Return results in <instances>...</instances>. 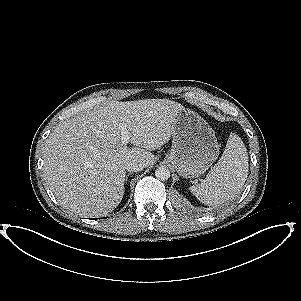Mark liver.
Masks as SVG:
<instances>
[{"label":"liver","instance_id":"liver-1","mask_svg":"<svg viewBox=\"0 0 301 301\" xmlns=\"http://www.w3.org/2000/svg\"><path fill=\"white\" fill-rule=\"evenodd\" d=\"M184 107L176 102H112L55 128L43 149L44 176L58 201L84 216L112 212L124 195L125 165H153ZM123 134L135 147L121 144Z\"/></svg>","mask_w":301,"mask_h":301}]
</instances>
